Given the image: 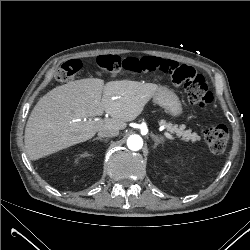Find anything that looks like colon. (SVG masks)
<instances>
[{
    "label": "colon",
    "instance_id": "1",
    "mask_svg": "<svg viewBox=\"0 0 250 250\" xmlns=\"http://www.w3.org/2000/svg\"><path fill=\"white\" fill-rule=\"evenodd\" d=\"M101 70L110 75L116 76L122 72H154L164 71L172 73V80L175 84H182L188 101L200 108H207L213 103V94L209 91L206 79L203 74L190 66H172L167 60H156L153 58H119L108 55L97 59ZM81 69V62L72 59L59 67L56 72V79L60 82H68ZM228 129L224 125H215L205 130V141L214 153H222L228 142Z\"/></svg>",
    "mask_w": 250,
    "mask_h": 250
}]
</instances>
